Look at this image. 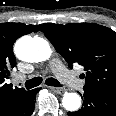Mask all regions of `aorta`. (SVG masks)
I'll use <instances>...</instances> for the list:
<instances>
[{
  "label": "aorta",
  "mask_w": 116,
  "mask_h": 116,
  "mask_svg": "<svg viewBox=\"0 0 116 116\" xmlns=\"http://www.w3.org/2000/svg\"><path fill=\"white\" fill-rule=\"evenodd\" d=\"M16 56L26 62H42L47 60L52 53L47 40L37 36H23L14 46ZM63 107L68 111L80 108L81 98L76 93H65L62 99Z\"/></svg>",
  "instance_id": "1"
}]
</instances>
